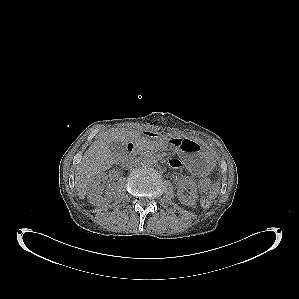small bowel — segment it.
Here are the masks:
<instances>
[{
	"label": "small bowel",
	"mask_w": 299,
	"mask_h": 299,
	"mask_svg": "<svg viewBox=\"0 0 299 299\" xmlns=\"http://www.w3.org/2000/svg\"><path fill=\"white\" fill-rule=\"evenodd\" d=\"M171 165H172L173 167H178V166H179V161L173 159V160H171Z\"/></svg>",
	"instance_id": "1"
}]
</instances>
